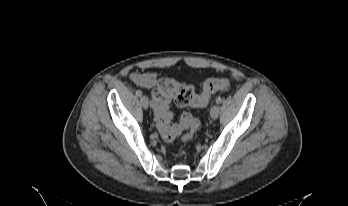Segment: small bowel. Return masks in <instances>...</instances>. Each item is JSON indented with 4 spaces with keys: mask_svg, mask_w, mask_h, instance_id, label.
<instances>
[{
    "mask_svg": "<svg viewBox=\"0 0 348 206\" xmlns=\"http://www.w3.org/2000/svg\"><path fill=\"white\" fill-rule=\"evenodd\" d=\"M129 78L136 85L151 89L158 85L159 79L153 71L131 72Z\"/></svg>",
    "mask_w": 348,
    "mask_h": 206,
    "instance_id": "small-bowel-1",
    "label": "small bowel"
}]
</instances>
